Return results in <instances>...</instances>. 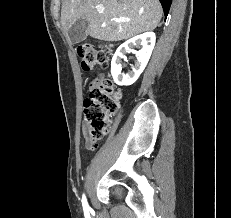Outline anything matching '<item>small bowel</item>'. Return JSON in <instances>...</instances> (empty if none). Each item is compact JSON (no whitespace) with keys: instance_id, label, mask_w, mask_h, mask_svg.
Returning <instances> with one entry per match:
<instances>
[{"instance_id":"small-bowel-1","label":"small bowel","mask_w":231,"mask_h":218,"mask_svg":"<svg viewBox=\"0 0 231 218\" xmlns=\"http://www.w3.org/2000/svg\"><path fill=\"white\" fill-rule=\"evenodd\" d=\"M102 80V76H98L96 77L91 83H90V87H94L96 84H98L100 81ZM82 134H83V138H84V142H85V146L88 150H93L96 148V145L94 143H92L89 138L87 137L86 131L85 129L82 130Z\"/></svg>"}]
</instances>
